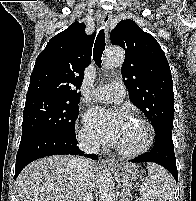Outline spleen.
I'll use <instances>...</instances> for the list:
<instances>
[{
    "instance_id": "spleen-1",
    "label": "spleen",
    "mask_w": 196,
    "mask_h": 201,
    "mask_svg": "<svg viewBox=\"0 0 196 201\" xmlns=\"http://www.w3.org/2000/svg\"><path fill=\"white\" fill-rule=\"evenodd\" d=\"M148 177L143 181L139 201H174L173 183L161 166L148 163Z\"/></svg>"
}]
</instances>
